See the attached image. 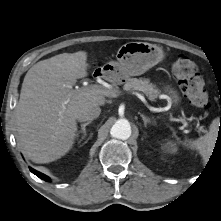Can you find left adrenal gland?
<instances>
[{"label":"left adrenal gland","mask_w":221,"mask_h":221,"mask_svg":"<svg viewBox=\"0 0 221 221\" xmlns=\"http://www.w3.org/2000/svg\"><path fill=\"white\" fill-rule=\"evenodd\" d=\"M140 116L142 117L143 121H144V125L145 127L147 126L148 123L155 125L154 121H151L150 118L146 117L144 114L140 113Z\"/></svg>","instance_id":"a2214340"}]
</instances>
